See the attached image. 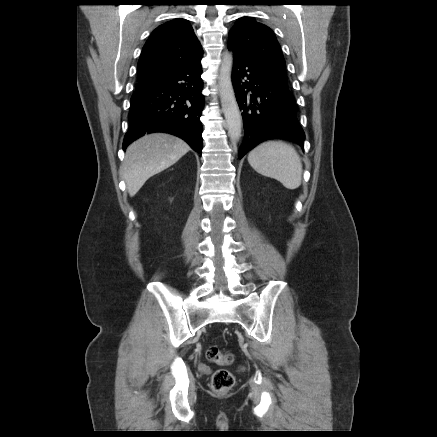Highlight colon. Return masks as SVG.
Returning <instances> with one entry per match:
<instances>
[{
	"label": "colon",
	"instance_id": "5ec220e1",
	"mask_svg": "<svg viewBox=\"0 0 437 437\" xmlns=\"http://www.w3.org/2000/svg\"><path fill=\"white\" fill-rule=\"evenodd\" d=\"M206 358L210 362L221 366H227L233 362V355L231 353L222 352L215 345H211L207 348ZM234 384L235 377L233 373L227 369H218L212 376L211 386L216 393H226L232 389Z\"/></svg>",
	"mask_w": 437,
	"mask_h": 437
}]
</instances>
